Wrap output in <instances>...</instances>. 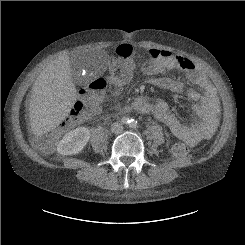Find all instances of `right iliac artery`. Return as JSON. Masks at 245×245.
Segmentation results:
<instances>
[{"mask_svg":"<svg viewBox=\"0 0 245 245\" xmlns=\"http://www.w3.org/2000/svg\"><path fill=\"white\" fill-rule=\"evenodd\" d=\"M121 121H122V123H124V124H129L131 120H130L128 117H123V118L121 119Z\"/></svg>","mask_w":245,"mask_h":245,"instance_id":"obj_1","label":"right iliac artery"}]
</instances>
